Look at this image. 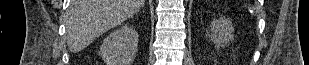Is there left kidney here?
Masks as SVG:
<instances>
[{
	"mask_svg": "<svg viewBox=\"0 0 309 65\" xmlns=\"http://www.w3.org/2000/svg\"><path fill=\"white\" fill-rule=\"evenodd\" d=\"M211 35H209L211 41L217 48L225 46L230 40L233 39L234 27L232 22L226 18L214 19L210 24Z\"/></svg>",
	"mask_w": 309,
	"mask_h": 65,
	"instance_id": "left-kidney-1",
	"label": "left kidney"
}]
</instances>
